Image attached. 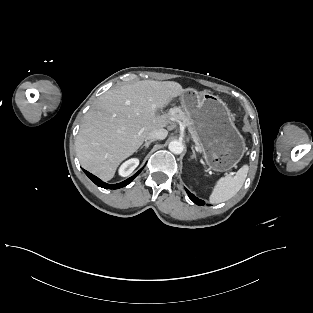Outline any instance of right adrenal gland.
<instances>
[{"instance_id": "obj_1", "label": "right adrenal gland", "mask_w": 313, "mask_h": 313, "mask_svg": "<svg viewBox=\"0 0 313 313\" xmlns=\"http://www.w3.org/2000/svg\"><path fill=\"white\" fill-rule=\"evenodd\" d=\"M154 142L153 140H150V141H145V143L140 147V149H143L144 150H147V148L149 147V145Z\"/></svg>"}]
</instances>
